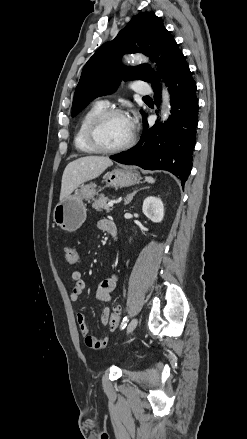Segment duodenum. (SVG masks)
Instances as JSON below:
<instances>
[{"instance_id": "410a0bca", "label": "duodenum", "mask_w": 247, "mask_h": 439, "mask_svg": "<svg viewBox=\"0 0 247 439\" xmlns=\"http://www.w3.org/2000/svg\"><path fill=\"white\" fill-rule=\"evenodd\" d=\"M109 233L114 239L117 238L118 230H117L116 225L113 222L111 223V225L109 227Z\"/></svg>"}]
</instances>
